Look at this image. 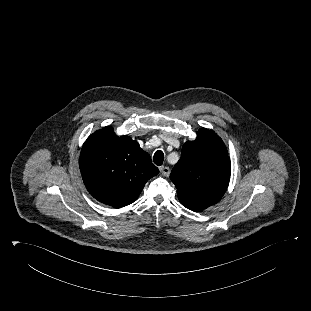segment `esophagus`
Listing matches in <instances>:
<instances>
[{"mask_svg": "<svg viewBox=\"0 0 311 311\" xmlns=\"http://www.w3.org/2000/svg\"><path fill=\"white\" fill-rule=\"evenodd\" d=\"M159 170L164 176H168L170 174V169L167 166H162Z\"/></svg>", "mask_w": 311, "mask_h": 311, "instance_id": "34e87169", "label": "esophagus"}]
</instances>
